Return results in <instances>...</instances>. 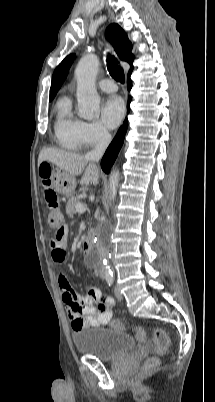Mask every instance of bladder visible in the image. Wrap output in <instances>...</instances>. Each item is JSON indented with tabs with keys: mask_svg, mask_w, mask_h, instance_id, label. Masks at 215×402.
I'll return each mask as SVG.
<instances>
[{
	"mask_svg": "<svg viewBox=\"0 0 215 402\" xmlns=\"http://www.w3.org/2000/svg\"><path fill=\"white\" fill-rule=\"evenodd\" d=\"M72 340L79 353L104 362L115 360L128 353L135 344L129 334L104 327L80 329L72 334Z\"/></svg>",
	"mask_w": 215,
	"mask_h": 402,
	"instance_id": "obj_1",
	"label": "bladder"
}]
</instances>
